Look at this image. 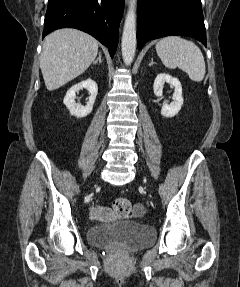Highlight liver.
<instances>
[{
    "mask_svg": "<svg viewBox=\"0 0 240 287\" xmlns=\"http://www.w3.org/2000/svg\"><path fill=\"white\" fill-rule=\"evenodd\" d=\"M98 41L76 29H59L43 43L40 68L49 91L56 90L81 75L94 61Z\"/></svg>",
    "mask_w": 240,
    "mask_h": 287,
    "instance_id": "1",
    "label": "liver"
}]
</instances>
